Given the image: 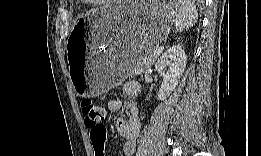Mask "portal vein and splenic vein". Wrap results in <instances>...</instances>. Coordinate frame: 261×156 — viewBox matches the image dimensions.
<instances>
[{"label": "portal vein and splenic vein", "instance_id": "portal-vein-and-splenic-vein-1", "mask_svg": "<svg viewBox=\"0 0 261 156\" xmlns=\"http://www.w3.org/2000/svg\"><path fill=\"white\" fill-rule=\"evenodd\" d=\"M163 51L162 47H157L154 52L153 55H155L156 57L160 55V53Z\"/></svg>", "mask_w": 261, "mask_h": 156}]
</instances>
